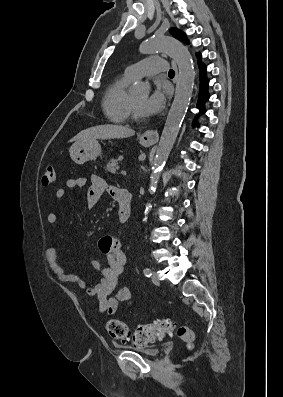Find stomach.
Listing matches in <instances>:
<instances>
[{
  "mask_svg": "<svg viewBox=\"0 0 283 397\" xmlns=\"http://www.w3.org/2000/svg\"><path fill=\"white\" fill-rule=\"evenodd\" d=\"M140 144L144 147L152 143L140 138ZM70 157L76 164H84L87 161L95 160L101 154V146L96 139L84 142H75L70 150Z\"/></svg>",
  "mask_w": 283,
  "mask_h": 397,
  "instance_id": "0dacf381",
  "label": "stomach"
}]
</instances>
